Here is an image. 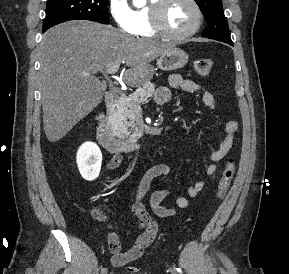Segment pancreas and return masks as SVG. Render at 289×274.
<instances>
[{"mask_svg": "<svg viewBox=\"0 0 289 274\" xmlns=\"http://www.w3.org/2000/svg\"><path fill=\"white\" fill-rule=\"evenodd\" d=\"M155 93V85L147 83L131 96L118 98L116 109L111 115L112 130L115 135L125 138L130 143L137 142L142 132L138 129L137 110L140 103L147 102Z\"/></svg>", "mask_w": 289, "mask_h": 274, "instance_id": "pancreas-1", "label": "pancreas"}]
</instances>
